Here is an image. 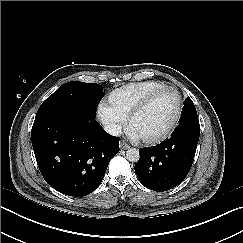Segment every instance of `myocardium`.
Wrapping results in <instances>:
<instances>
[{
  "label": "myocardium",
  "instance_id": "f54148a6",
  "mask_svg": "<svg viewBox=\"0 0 243 243\" xmlns=\"http://www.w3.org/2000/svg\"><path fill=\"white\" fill-rule=\"evenodd\" d=\"M166 92H174L177 95V106H176L175 114H174L171 122L169 123V125L165 128V130L163 132H161L160 134H158L156 136H146V135L140 133L139 131H137L134 127L135 119L138 117V115L141 113V111L152 100H154L156 97H158ZM182 107H183V100H182V95L179 92V90L176 89L175 87H171V86L165 87L161 90L154 92L153 94L149 95L148 97H146L131 111L129 118H128V126L131 130L135 131L144 142L157 143V142L165 139L172 132V130L176 127V125L178 124V122L181 118Z\"/></svg>",
  "mask_w": 243,
  "mask_h": 243
}]
</instances>
